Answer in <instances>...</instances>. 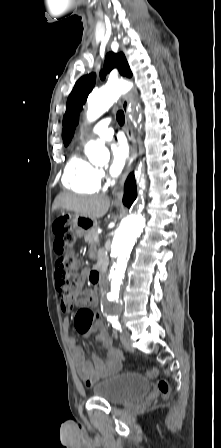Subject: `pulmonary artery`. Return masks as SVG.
Segmentation results:
<instances>
[{
    "label": "pulmonary artery",
    "instance_id": "1",
    "mask_svg": "<svg viewBox=\"0 0 221 448\" xmlns=\"http://www.w3.org/2000/svg\"><path fill=\"white\" fill-rule=\"evenodd\" d=\"M110 118H104L98 121L90 130L87 137L98 136L103 139H111L113 129L109 127Z\"/></svg>",
    "mask_w": 221,
    "mask_h": 448
}]
</instances>
